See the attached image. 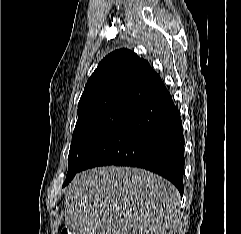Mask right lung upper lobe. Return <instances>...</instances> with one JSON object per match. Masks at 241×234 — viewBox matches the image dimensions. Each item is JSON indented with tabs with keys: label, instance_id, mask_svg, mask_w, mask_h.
I'll list each match as a JSON object with an SVG mask.
<instances>
[{
	"label": "right lung upper lobe",
	"instance_id": "right-lung-upper-lobe-1",
	"mask_svg": "<svg viewBox=\"0 0 241 234\" xmlns=\"http://www.w3.org/2000/svg\"><path fill=\"white\" fill-rule=\"evenodd\" d=\"M163 86L148 61L128 49L107 55L88 79L78 110L109 102L138 104Z\"/></svg>",
	"mask_w": 241,
	"mask_h": 234
}]
</instances>
